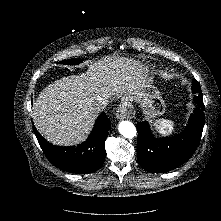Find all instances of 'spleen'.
<instances>
[{"label":"spleen","mask_w":221,"mask_h":221,"mask_svg":"<svg viewBox=\"0 0 221 221\" xmlns=\"http://www.w3.org/2000/svg\"><path fill=\"white\" fill-rule=\"evenodd\" d=\"M153 126L162 135L172 134L175 129L174 121L168 119H158L153 123Z\"/></svg>","instance_id":"spleen-1"}]
</instances>
